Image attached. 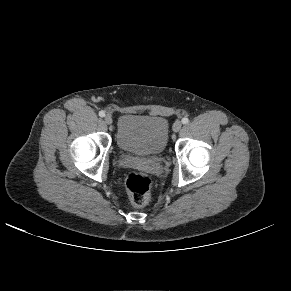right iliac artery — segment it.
<instances>
[{"label": "right iliac artery", "instance_id": "82829eb1", "mask_svg": "<svg viewBox=\"0 0 291 291\" xmlns=\"http://www.w3.org/2000/svg\"><path fill=\"white\" fill-rule=\"evenodd\" d=\"M99 116H100V117H104V116H105V112H104V111H100V112H99Z\"/></svg>", "mask_w": 291, "mask_h": 291}]
</instances>
